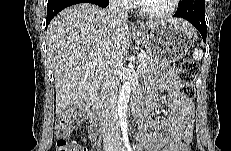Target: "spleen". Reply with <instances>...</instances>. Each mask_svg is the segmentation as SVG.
<instances>
[{
	"mask_svg": "<svg viewBox=\"0 0 231 151\" xmlns=\"http://www.w3.org/2000/svg\"><path fill=\"white\" fill-rule=\"evenodd\" d=\"M203 57V51L200 48H195L193 51V58L195 60H201Z\"/></svg>",
	"mask_w": 231,
	"mask_h": 151,
	"instance_id": "obj_1",
	"label": "spleen"
}]
</instances>
